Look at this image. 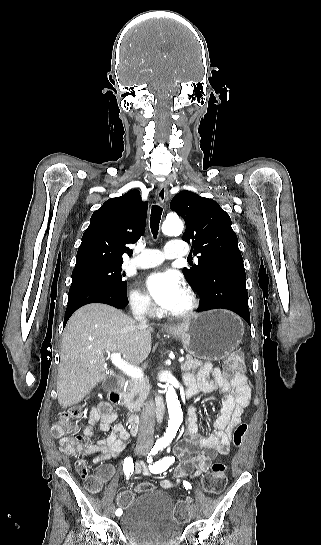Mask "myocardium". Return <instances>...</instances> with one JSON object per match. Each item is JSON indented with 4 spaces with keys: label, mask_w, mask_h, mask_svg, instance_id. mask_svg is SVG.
<instances>
[{
    "label": "myocardium",
    "mask_w": 321,
    "mask_h": 545,
    "mask_svg": "<svg viewBox=\"0 0 321 545\" xmlns=\"http://www.w3.org/2000/svg\"><path fill=\"white\" fill-rule=\"evenodd\" d=\"M183 290L187 294L190 304L187 309L180 312H171L170 315L176 318H187L193 315L200 306V300L197 293L191 286L185 285Z\"/></svg>",
    "instance_id": "myocardium-1"
}]
</instances>
